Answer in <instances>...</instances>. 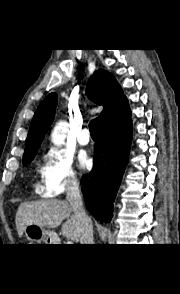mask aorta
<instances>
[{
  "label": "aorta",
  "instance_id": "obj_1",
  "mask_svg": "<svg viewBox=\"0 0 180 294\" xmlns=\"http://www.w3.org/2000/svg\"><path fill=\"white\" fill-rule=\"evenodd\" d=\"M67 132V124L63 121L58 122L51 133L52 142L57 146L64 144Z\"/></svg>",
  "mask_w": 180,
  "mask_h": 294
}]
</instances>
